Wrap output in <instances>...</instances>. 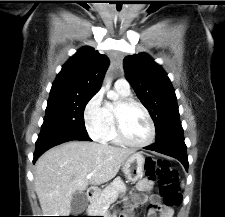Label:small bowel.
<instances>
[{
    "instance_id": "obj_1",
    "label": "small bowel",
    "mask_w": 225,
    "mask_h": 217,
    "mask_svg": "<svg viewBox=\"0 0 225 217\" xmlns=\"http://www.w3.org/2000/svg\"><path fill=\"white\" fill-rule=\"evenodd\" d=\"M152 187V181L150 179H142L141 181L138 182L137 184V189L140 191H145L149 190ZM150 200V205H149V217H156L155 216V211L159 209L160 211V216L159 217H173L174 213L172 208L166 207V206H160L159 205V198L156 195L151 196L148 198L147 196H140L136 197L134 199V204L135 206H140ZM134 205H128L127 210L131 211L133 209ZM121 217H128L127 215L121 216Z\"/></svg>"
}]
</instances>
